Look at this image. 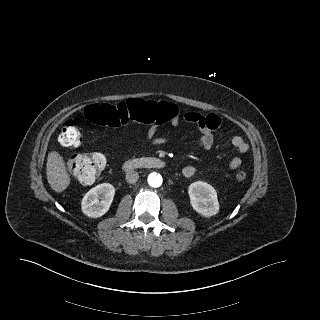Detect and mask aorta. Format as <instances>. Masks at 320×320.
I'll return each mask as SVG.
<instances>
[{"instance_id":"762f6f07","label":"aorta","mask_w":320,"mask_h":320,"mask_svg":"<svg viewBox=\"0 0 320 320\" xmlns=\"http://www.w3.org/2000/svg\"><path fill=\"white\" fill-rule=\"evenodd\" d=\"M163 179L159 173L153 172L148 176V183L153 188H158L162 185Z\"/></svg>"}]
</instances>
